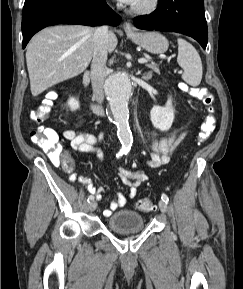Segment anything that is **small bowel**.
<instances>
[{"label": "small bowel", "mask_w": 243, "mask_h": 289, "mask_svg": "<svg viewBox=\"0 0 243 289\" xmlns=\"http://www.w3.org/2000/svg\"><path fill=\"white\" fill-rule=\"evenodd\" d=\"M85 121H78L68 129L62 132L64 139L69 141L73 150L95 154L98 161L101 163L103 160V153L100 149V143L103 140V133L93 135L86 131H82L79 128L83 126ZM185 132L171 133L160 138L155 137L151 144V159L147 162L150 168H155L168 163L171 154L184 138ZM118 176L121 181L130 187L129 197L134 198L137 193V187L147 180V174L144 171L137 170L131 171L124 168L118 169ZM79 179L80 182L88 186L89 191L96 197L97 200H101L102 194L105 190L95 188L92 186L88 178L82 175L73 173L70 177L71 181ZM127 203V198L122 193H117L114 199L110 202L109 209L104 211L105 216H110L114 211L123 208Z\"/></svg>", "instance_id": "obj_1"}]
</instances>
